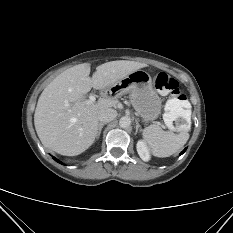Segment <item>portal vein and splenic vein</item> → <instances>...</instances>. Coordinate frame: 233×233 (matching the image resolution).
<instances>
[{
  "instance_id": "18ae733b",
  "label": "portal vein and splenic vein",
  "mask_w": 233,
  "mask_h": 233,
  "mask_svg": "<svg viewBox=\"0 0 233 233\" xmlns=\"http://www.w3.org/2000/svg\"><path fill=\"white\" fill-rule=\"evenodd\" d=\"M95 100H96L95 96H94V95H90V96H89V99L86 100V102H87L88 104H91V103H94Z\"/></svg>"
}]
</instances>
